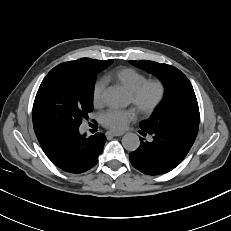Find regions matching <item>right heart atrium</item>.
<instances>
[{
	"mask_svg": "<svg viewBox=\"0 0 231 231\" xmlns=\"http://www.w3.org/2000/svg\"><path fill=\"white\" fill-rule=\"evenodd\" d=\"M105 90V81H97L92 89V101L94 105H100L103 101V93Z\"/></svg>",
	"mask_w": 231,
	"mask_h": 231,
	"instance_id": "obj_1",
	"label": "right heart atrium"
}]
</instances>
